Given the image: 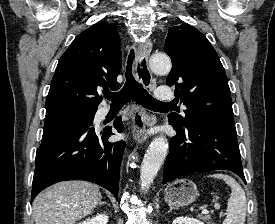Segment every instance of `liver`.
<instances>
[{"label": "liver", "mask_w": 275, "mask_h": 224, "mask_svg": "<svg viewBox=\"0 0 275 224\" xmlns=\"http://www.w3.org/2000/svg\"><path fill=\"white\" fill-rule=\"evenodd\" d=\"M100 200V190L92 183H57L34 199L35 224H74L91 214Z\"/></svg>", "instance_id": "6515ba94"}]
</instances>
